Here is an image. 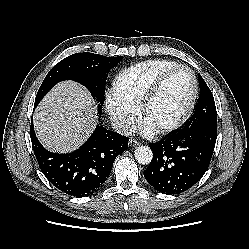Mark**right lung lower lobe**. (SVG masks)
<instances>
[{
    "instance_id": "right-lung-lower-lobe-1",
    "label": "right lung lower lobe",
    "mask_w": 249,
    "mask_h": 249,
    "mask_svg": "<svg viewBox=\"0 0 249 249\" xmlns=\"http://www.w3.org/2000/svg\"><path fill=\"white\" fill-rule=\"evenodd\" d=\"M30 136L34 154L46 178L62 192L77 197L91 195L102 187L114 160L127 149L129 141L126 136L97 126L78 150L57 154L41 145L32 120Z\"/></svg>"
}]
</instances>
